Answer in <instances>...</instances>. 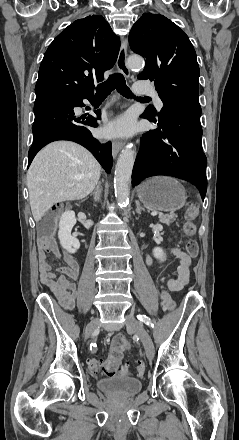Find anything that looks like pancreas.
<instances>
[{
    "mask_svg": "<svg viewBox=\"0 0 239 440\" xmlns=\"http://www.w3.org/2000/svg\"><path fill=\"white\" fill-rule=\"evenodd\" d=\"M158 218H160V222H162V224H167V226H169V224H173L177 216L176 214H164V216H158Z\"/></svg>",
    "mask_w": 239,
    "mask_h": 440,
    "instance_id": "cf45deb5",
    "label": "pancreas"
}]
</instances>
